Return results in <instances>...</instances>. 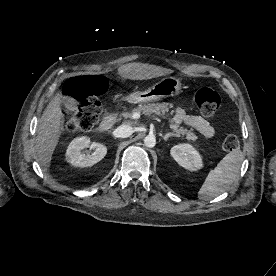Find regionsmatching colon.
<instances>
[{
  "mask_svg": "<svg viewBox=\"0 0 276 276\" xmlns=\"http://www.w3.org/2000/svg\"><path fill=\"white\" fill-rule=\"evenodd\" d=\"M106 89V81L97 76L72 78L66 82L65 95L74 98L77 102L75 110L65 118L67 132L87 131L94 126L101 110L100 96ZM194 101L200 112L206 116L214 115L220 107L218 93L209 87L197 89ZM223 148L228 152L238 150V138L234 135L226 137Z\"/></svg>",
  "mask_w": 276,
  "mask_h": 276,
  "instance_id": "colon-1",
  "label": "colon"
}]
</instances>
